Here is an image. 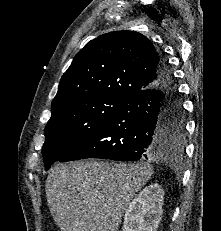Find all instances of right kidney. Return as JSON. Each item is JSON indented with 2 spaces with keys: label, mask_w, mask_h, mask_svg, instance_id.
<instances>
[{
  "label": "right kidney",
  "mask_w": 221,
  "mask_h": 231,
  "mask_svg": "<svg viewBox=\"0 0 221 231\" xmlns=\"http://www.w3.org/2000/svg\"><path fill=\"white\" fill-rule=\"evenodd\" d=\"M163 202L164 191L159 184L145 187L126 209L122 231H157Z\"/></svg>",
  "instance_id": "obj_1"
}]
</instances>
